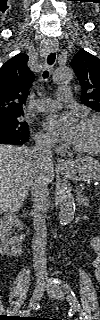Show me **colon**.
Returning <instances> with one entry per match:
<instances>
[{
    "instance_id": "5ec220e1",
    "label": "colon",
    "mask_w": 100,
    "mask_h": 320,
    "mask_svg": "<svg viewBox=\"0 0 100 320\" xmlns=\"http://www.w3.org/2000/svg\"><path fill=\"white\" fill-rule=\"evenodd\" d=\"M93 246H94V247L98 246V241H97V240H94V241H93Z\"/></svg>"
}]
</instances>
